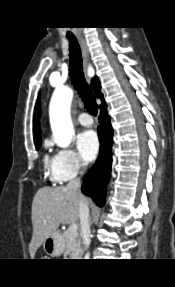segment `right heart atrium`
I'll return each instance as SVG.
<instances>
[{
  "instance_id": "obj_1",
  "label": "right heart atrium",
  "mask_w": 175,
  "mask_h": 287,
  "mask_svg": "<svg viewBox=\"0 0 175 287\" xmlns=\"http://www.w3.org/2000/svg\"><path fill=\"white\" fill-rule=\"evenodd\" d=\"M86 167L82 158L71 149H59L54 156L52 180L63 183L75 178Z\"/></svg>"
}]
</instances>
